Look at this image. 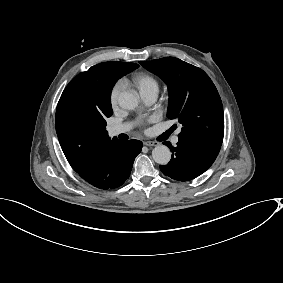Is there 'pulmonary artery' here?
<instances>
[{
  "mask_svg": "<svg viewBox=\"0 0 283 283\" xmlns=\"http://www.w3.org/2000/svg\"><path fill=\"white\" fill-rule=\"evenodd\" d=\"M158 97V90L157 89H148L140 93V98L146 104L150 105L156 101ZM130 129L129 123H122L109 126L107 128L108 135L110 137L117 136L121 133H125Z\"/></svg>",
  "mask_w": 283,
  "mask_h": 283,
  "instance_id": "1",
  "label": "pulmonary artery"
}]
</instances>
